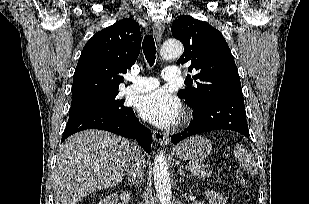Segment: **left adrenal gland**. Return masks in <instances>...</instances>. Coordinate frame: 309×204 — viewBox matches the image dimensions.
<instances>
[{"label":"left adrenal gland","mask_w":309,"mask_h":204,"mask_svg":"<svg viewBox=\"0 0 309 204\" xmlns=\"http://www.w3.org/2000/svg\"><path fill=\"white\" fill-rule=\"evenodd\" d=\"M178 172H179V174H180V176H181L180 182L184 181L185 178H188V175H186V173L183 171L182 168H180V169L178 170Z\"/></svg>","instance_id":"left-adrenal-gland-1"}]
</instances>
